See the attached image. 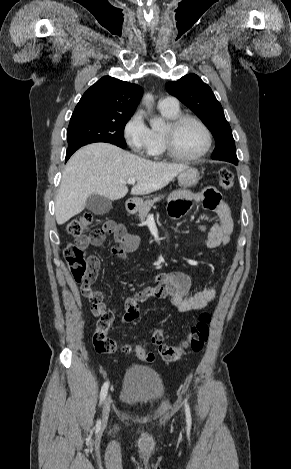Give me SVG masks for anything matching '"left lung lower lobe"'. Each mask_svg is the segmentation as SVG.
Masks as SVG:
<instances>
[{"mask_svg":"<svg viewBox=\"0 0 291 469\" xmlns=\"http://www.w3.org/2000/svg\"><path fill=\"white\" fill-rule=\"evenodd\" d=\"M223 159H226V160H224V161L231 162V163H233V164H235V165H237V164H238V161H235V160H230V159H228V158H221V160H223Z\"/></svg>","mask_w":291,"mask_h":469,"instance_id":"0a47b994","label":"left lung lower lobe"}]
</instances>
